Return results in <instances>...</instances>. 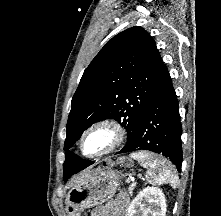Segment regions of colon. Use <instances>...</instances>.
Returning <instances> with one entry per match:
<instances>
[{
    "label": "colon",
    "instance_id": "obj_1",
    "mask_svg": "<svg viewBox=\"0 0 221 216\" xmlns=\"http://www.w3.org/2000/svg\"><path fill=\"white\" fill-rule=\"evenodd\" d=\"M125 164H127V165H128V164H129V162H128V161H125Z\"/></svg>",
    "mask_w": 221,
    "mask_h": 216
}]
</instances>
